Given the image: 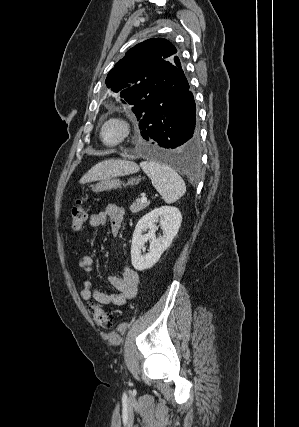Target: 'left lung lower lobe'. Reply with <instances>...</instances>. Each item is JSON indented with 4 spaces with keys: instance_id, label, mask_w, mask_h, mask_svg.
I'll return each instance as SVG.
<instances>
[{
    "instance_id": "0a47b994",
    "label": "left lung lower lobe",
    "mask_w": 299,
    "mask_h": 427,
    "mask_svg": "<svg viewBox=\"0 0 299 427\" xmlns=\"http://www.w3.org/2000/svg\"><path fill=\"white\" fill-rule=\"evenodd\" d=\"M175 63L180 70L177 81L139 119L141 135L148 141L142 151L157 161L189 168L199 149L196 105L178 57Z\"/></svg>"
}]
</instances>
